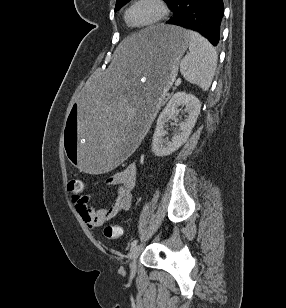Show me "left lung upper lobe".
<instances>
[{"mask_svg":"<svg viewBox=\"0 0 286 308\" xmlns=\"http://www.w3.org/2000/svg\"><path fill=\"white\" fill-rule=\"evenodd\" d=\"M128 1H129V0H117L116 6H115V11L119 10V9H120L124 4H126ZM164 1L167 3L168 7H170L171 2H172L173 0H164Z\"/></svg>","mask_w":286,"mask_h":308,"instance_id":"obj_1","label":"left lung upper lobe"}]
</instances>
